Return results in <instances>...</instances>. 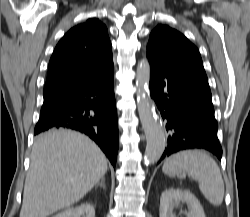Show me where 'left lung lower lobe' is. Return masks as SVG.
Wrapping results in <instances>:
<instances>
[{
    "label": "left lung lower lobe",
    "mask_w": 250,
    "mask_h": 217,
    "mask_svg": "<svg viewBox=\"0 0 250 217\" xmlns=\"http://www.w3.org/2000/svg\"><path fill=\"white\" fill-rule=\"evenodd\" d=\"M150 95L166 122L168 145L160 161L180 150L206 149L222 157L211 91L205 71L169 65L147 52Z\"/></svg>",
    "instance_id": "1"
}]
</instances>
